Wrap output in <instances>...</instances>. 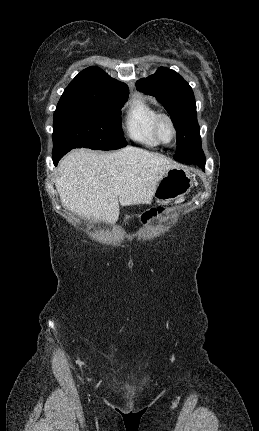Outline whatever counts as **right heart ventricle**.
I'll list each match as a JSON object with an SVG mask.
<instances>
[{"label": "right heart ventricle", "mask_w": 259, "mask_h": 431, "mask_svg": "<svg viewBox=\"0 0 259 431\" xmlns=\"http://www.w3.org/2000/svg\"><path fill=\"white\" fill-rule=\"evenodd\" d=\"M159 111L143 98H134L124 117V129L133 141L148 147L160 144L155 136L154 122Z\"/></svg>", "instance_id": "1"}]
</instances>
